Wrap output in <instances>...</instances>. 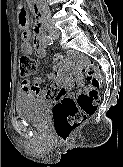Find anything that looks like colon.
Instances as JSON below:
<instances>
[{"instance_id":"obj_1","label":"colon","mask_w":123,"mask_h":167,"mask_svg":"<svg viewBox=\"0 0 123 167\" xmlns=\"http://www.w3.org/2000/svg\"><path fill=\"white\" fill-rule=\"evenodd\" d=\"M36 65L28 55H22L19 59V74L28 77L34 73ZM85 80L91 85L89 91L80 92L75 99L69 96L60 98L54 107L53 122L57 137L67 140L78 129L86 118L95 113L100 102L97 89L104 84L103 76L98 66L86 63L82 67Z\"/></svg>"}]
</instances>
